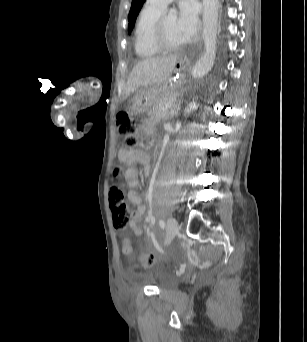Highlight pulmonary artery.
Here are the masks:
<instances>
[{
    "mask_svg": "<svg viewBox=\"0 0 307 342\" xmlns=\"http://www.w3.org/2000/svg\"><path fill=\"white\" fill-rule=\"evenodd\" d=\"M171 2L173 1H146L145 3L150 10L162 14Z\"/></svg>",
    "mask_w": 307,
    "mask_h": 342,
    "instance_id": "e3ab8cb5",
    "label": "pulmonary artery"
}]
</instances>
